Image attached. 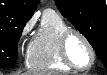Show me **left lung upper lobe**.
Segmentation results:
<instances>
[{
    "label": "left lung upper lobe",
    "mask_w": 107,
    "mask_h": 75,
    "mask_svg": "<svg viewBox=\"0 0 107 75\" xmlns=\"http://www.w3.org/2000/svg\"><path fill=\"white\" fill-rule=\"evenodd\" d=\"M61 14L95 49L107 69V8L105 0H55Z\"/></svg>",
    "instance_id": "left-lung-upper-lobe-1"
}]
</instances>
